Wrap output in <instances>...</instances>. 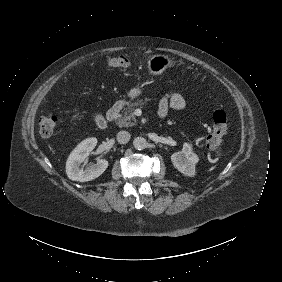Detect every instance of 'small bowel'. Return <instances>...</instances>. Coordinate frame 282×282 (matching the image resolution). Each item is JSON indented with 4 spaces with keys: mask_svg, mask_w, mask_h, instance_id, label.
Wrapping results in <instances>:
<instances>
[{
    "mask_svg": "<svg viewBox=\"0 0 282 282\" xmlns=\"http://www.w3.org/2000/svg\"><path fill=\"white\" fill-rule=\"evenodd\" d=\"M167 87L180 89L179 83L175 79H167L165 81ZM186 106V99L181 92H174L165 94L158 105V115L165 118L168 114L169 108L181 110Z\"/></svg>",
    "mask_w": 282,
    "mask_h": 282,
    "instance_id": "c3829d8e",
    "label": "small bowel"
}]
</instances>
